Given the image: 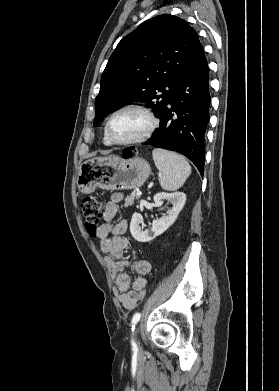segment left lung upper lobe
<instances>
[{"instance_id":"left-lung-upper-lobe-1","label":"left lung upper lobe","mask_w":279,"mask_h":391,"mask_svg":"<svg viewBox=\"0 0 279 391\" xmlns=\"http://www.w3.org/2000/svg\"><path fill=\"white\" fill-rule=\"evenodd\" d=\"M202 51L197 33L179 17L163 14L142 23L109 58L95 101L94 124L130 102L147 103L160 117Z\"/></svg>"}]
</instances>
